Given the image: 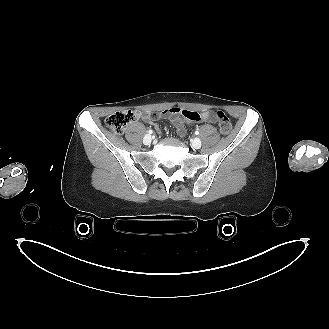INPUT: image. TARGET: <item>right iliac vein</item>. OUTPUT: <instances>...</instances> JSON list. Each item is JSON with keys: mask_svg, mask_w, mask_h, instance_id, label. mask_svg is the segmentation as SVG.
I'll use <instances>...</instances> for the list:
<instances>
[{"mask_svg": "<svg viewBox=\"0 0 329 329\" xmlns=\"http://www.w3.org/2000/svg\"><path fill=\"white\" fill-rule=\"evenodd\" d=\"M151 141H152V137H151V135L147 134V135L144 136V138H143V143H144L145 145H149V144L151 143Z\"/></svg>", "mask_w": 329, "mask_h": 329, "instance_id": "right-iliac-vein-1", "label": "right iliac vein"}]
</instances>
